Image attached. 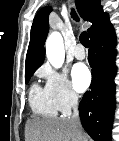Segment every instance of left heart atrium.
<instances>
[{
    "mask_svg": "<svg viewBox=\"0 0 119 141\" xmlns=\"http://www.w3.org/2000/svg\"><path fill=\"white\" fill-rule=\"evenodd\" d=\"M91 78L90 70L85 64L79 63L73 67L72 82L77 91L83 92L86 90L91 83Z\"/></svg>",
    "mask_w": 119,
    "mask_h": 141,
    "instance_id": "left-heart-atrium-1",
    "label": "left heart atrium"
}]
</instances>
